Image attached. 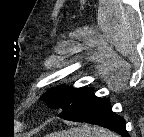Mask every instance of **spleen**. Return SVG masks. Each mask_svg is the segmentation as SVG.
Listing matches in <instances>:
<instances>
[{
  "instance_id": "spleen-1",
  "label": "spleen",
  "mask_w": 144,
  "mask_h": 137,
  "mask_svg": "<svg viewBox=\"0 0 144 137\" xmlns=\"http://www.w3.org/2000/svg\"><path fill=\"white\" fill-rule=\"evenodd\" d=\"M55 137H117L116 134L97 126L83 124L80 127H74L62 131Z\"/></svg>"
}]
</instances>
